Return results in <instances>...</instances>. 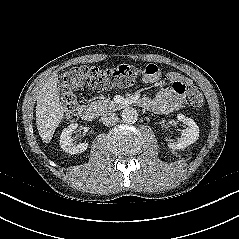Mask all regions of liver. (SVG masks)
<instances>
[{
  "label": "liver",
  "instance_id": "liver-1",
  "mask_svg": "<svg viewBox=\"0 0 239 239\" xmlns=\"http://www.w3.org/2000/svg\"><path fill=\"white\" fill-rule=\"evenodd\" d=\"M57 73H53L40 90L36 105V124L44 143H49L60 124L64 109L57 90Z\"/></svg>",
  "mask_w": 239,
  "mask_h": 239
}]
</instances>
